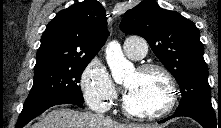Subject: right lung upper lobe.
I'll list each match as a JSON object with an SVG mask.
<instances>
[{
	"mask_svg": "<svg viewBox=\"0 0 221 128\" xmlns=\"http://www.w3.org/2000/svg\"><path fill=\"white\" fill-rule=\"evenodd\" d=\"M106 21V11L97 0L77 2L61 10L41 37L34 69L92 60L109 34Z\"/></svg>",
	"mask_w": 221,
	"mask_h": 128,
	"instance_id": "1",
	"label": "right lung upper lobe"
}]
</instances>
